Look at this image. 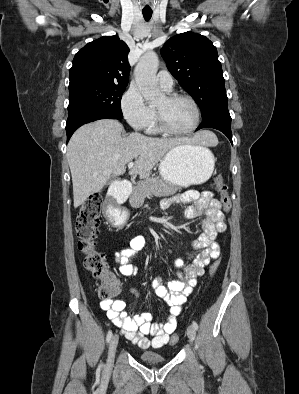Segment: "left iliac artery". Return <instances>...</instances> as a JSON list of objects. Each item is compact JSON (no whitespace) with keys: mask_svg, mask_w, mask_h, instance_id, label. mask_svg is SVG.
<instances>
[{"mask_svg":"<svg viewBox=\"0 0 299 394\" xmlns=\"http://www.w3.org/2000/svg\"><path fill=\"white\" fill-rule=\"evenodd\" d=\"M192 325L196 330L198 329V324L195 321L192 322Z\"/></svg>","mask_w":299,"mask_h":394,"instance_id":"obj_1","label":"left iliac artery"}]
</instances>
